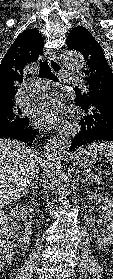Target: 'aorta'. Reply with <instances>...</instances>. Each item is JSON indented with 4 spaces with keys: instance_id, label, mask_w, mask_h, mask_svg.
Instances as JSON below:
<instances>
[{
    "instance_id": "762f6f07",
    "label": "aorta",
    "mask_w": 113,
    "mask_h": 279,
    "mask_svg": "<svg viewBox=\"0 0 113 279\" xmlns=\"http://www.w3.org/2000/svg\"><path fill=\"white\" fill-rule=\"evenodd\" d=\"M61 57L64 65L72 71H79L84 67V58L77 51L63 49ZM73 135L72 127L64 129L50 141L44 153L43 170L50 182L51 190L62 204L68 203L69 186L61 164V153L69 146Z\"/></svg>"
}]
</instances>
